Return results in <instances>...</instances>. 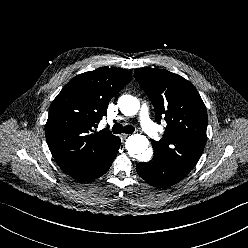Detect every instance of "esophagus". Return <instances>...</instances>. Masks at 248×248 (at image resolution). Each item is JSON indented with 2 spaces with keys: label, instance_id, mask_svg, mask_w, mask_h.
Masks as SVG:
<instances>
[{
  "label": "esophagus",
  "instance_id": "esophagus-1",
  "mask_svg": "<svg viewBox=\"0 0 248 248\" xmlns=\"http://www.w3.org/2000/svg\"><path fill=\"white\" fill-rule=\"evenodd\" d=\"M128 136H129V134H127V133L121 134V138H122V139H126Z\"/></svg>",
  "mask_w": 248,
  "mask_h": 248
}]
</instances>
